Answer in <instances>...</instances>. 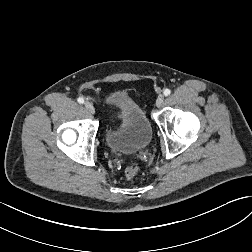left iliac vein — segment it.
Wrapping results in <instances>:
<instances>
[{"mask_svg":"<svg viewBox=\"0 0 252 252\" xmlns=\"http://www.w3.org/2000/svg\"><path fill=\"white\" fill-rule=\"evenodd\" d=\"M164 102V96L160 94L156 99V106L160 107Z\"/></svg>","mask_w":252,"mask_h":252,"instance_id":"left-iliac-vein-1","label":"left iliac vein"}]
</instances>
